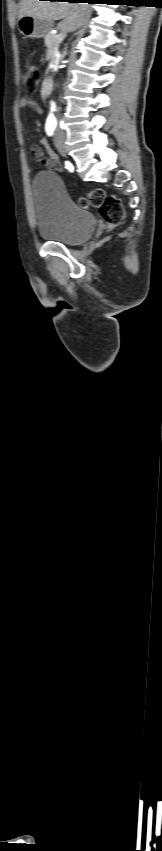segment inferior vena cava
<instances>
[{"instance_id": "1", "label": "inferior vena cava", "mask_w": 162, "mask_h": 851, "mask_svg": "<svg viewBox=\"0 0 162 851\" xmlns=\"http://www.w3.org/2000/svg\"><path fill=\"white\" fill-rule=\"evenodd\" d=\"M86 5H87V4H86ZM57 131H59V132H61V133H62V131H61V129H60V128H58V129H57Z\"/></svg>"}]
</instances>
